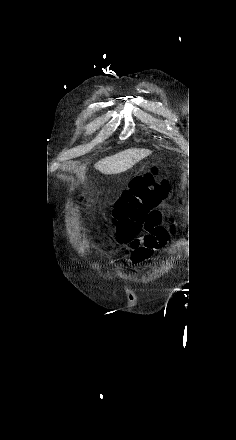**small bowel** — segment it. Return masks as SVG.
<instances>
[{"mask_svg": "<svg viewBox=\"0 0 236 440\" xmlns=\"http://www.w3.org/2000/svg\"><path fill=\"white\" fill-rule=\"evenodd\" d=\"M168 224V227L164 226L162 213L158 209L151 210L143 222L146 233L126 242L124 257L133 263H141L150 258L157 250L164 248L178 231L172 218L168 219Z\"/></svg>", "mask_w": 236, "mask_h": 440, "instance_id": "obj_1", "label": "small bowel"}]
</instances>
